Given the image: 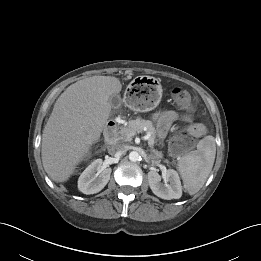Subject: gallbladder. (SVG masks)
Returning <instances> with one entry per match:
<instances>
[{
	"label": "gallbladder",
	"instance_id": "obj_1",
	"mask_svg": "<svg viewBox=\"0 0 261 261\" xmlns=\"http://www.w3.org/2000/svg\"><path fill=\"white\" fill-rule=\"evenodd\" d=\"M109 102L113 108H118L121 105V98L119 95H112L109 99Z\"/></svg>",
	"mask_w": 261,
	"mask_h": 261
}]
</instances>
